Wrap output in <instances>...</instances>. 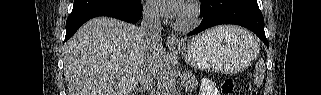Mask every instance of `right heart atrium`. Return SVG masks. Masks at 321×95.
Returning a JSON list of instances; mask_svg holds the SVG:
<instances>
[{
	"label": "right heart atrium",
	"instance_id": "1",
	"mask_svg": "<svg viewBox=\"0 0 321 95\" xmlns=\"http://www.w3.org/2000/svg\"><path fill=\"white\" fill-rule=\"evenodd\" d=\"M145 13H146V16H147V17H149V18H151V19L155 18V12H154V10H153L152 8L147 7V8L145 9Z\"/></svg>",
	"mask_w": 321,
	"mask_h": 95
}]
</instances>
